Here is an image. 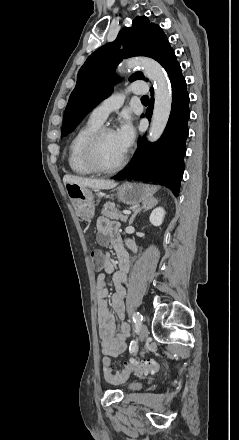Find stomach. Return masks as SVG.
Masks as SVG:
<instances>
[{
	"instance_id": "0dacf381",
	"label": "stomach",
	"mask_w": 239,
	"mask_h": 440,
	"mask_svg": "<svg viewBox=\"0 0 239 440\" xmlns=\"http://www.w3.org/2000/svg\"><path fill=\"white\" fill-rule=\"evenodd\" d=\"M157 186L149 184H130L125 182L117 188V198L128 206H138L140 202H151L153 194L157 192ZM67 194L73 204V208L79 218L91 220L95 214L94 196L88 188H80L76 184H69Z\"/></svg>"
}]
</instances>
